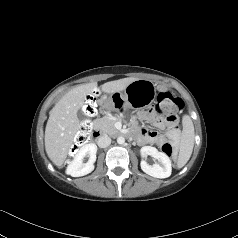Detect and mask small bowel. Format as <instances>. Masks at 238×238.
Listing matches in <instances>:
<instances>
[{"label": "small bowel", "instance_id": "1", "mask_svg": "<svg viewBox=\"0 0 238 238\" xmlns=\"http://www.w3.org/2000/svg\"><path fill=\"white\" fill-rule=\"evenodd\" d=\"M140 117L148 120L154 127L160 129L167 128L166 135H160L148 129H142L138 133V141L142 144H155L161 147L164 143L169 142L177 146L180 142V131L176 123H166V119L158 114L151 115L148 112H142Z\"/></svg>", "mask_w": 238, "mask_h": 238}]
</instances>
